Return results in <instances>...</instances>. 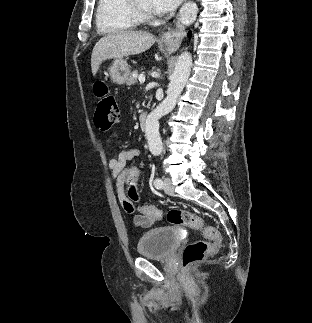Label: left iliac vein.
Instances as JSON below:
<instances>
[{"label": "left iliac vein", "instance_id": "4c4485c4", "mask_svg": "<svg viewBox=\"0 0 312 323\" xmlns=\"http://www.w3.org/2000/svg\"><path fill=\"white\" fill-rule=\"evenodd\" d=\"M163 188L167 194H170V195L174 194V188H173V186L171 184V180L169 178H164Z\"/></svg>", "mask_w": 312, "mask_h": 323}]
</instances>
